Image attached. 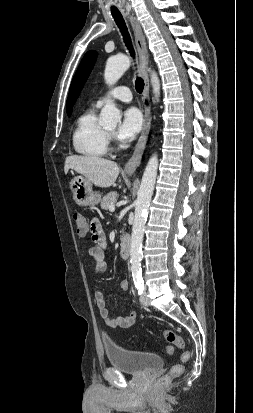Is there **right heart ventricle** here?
I'll return each instance as SVG.
<instances>
[{"mask_svg": "<svg viewBox=\"0 0 253 413\" xmlns=\"http://www.w3.org/2000/svg\"><path fill=\"white\" fill-rule=\"evenodd\" d=\"M108 136L97 118L96 107L84 111L77 119L72 135L74 150L87 158H100L106 155Z\"/></svg>", "mask_w": 253, "mask_h": 413, "instance_id": "obj_1", "label": "right heart ventricle"}]
</instances>
